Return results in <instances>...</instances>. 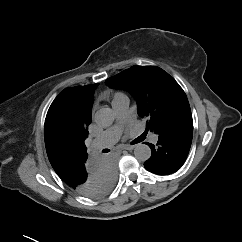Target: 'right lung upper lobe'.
Segmentation results:
<instances>
[{
	"mask_svg": "<svg viewBox=\"0 0 242 242\" xmlns=\"http://www.w3.org/2000/svg\"><path fill=\"white\" fill-rule=\"evenodd\" d=\"M96 87L97 84L67 88L48 110L44 126L45 146L59 177L72 171L87 155L84 141L88 137Z\"/></svg>",
	"mask_w": 242,
	"mask_h": 242,
	"instance_id": "1",
	"label": "right lung upper lobe"
}]
</instances>
